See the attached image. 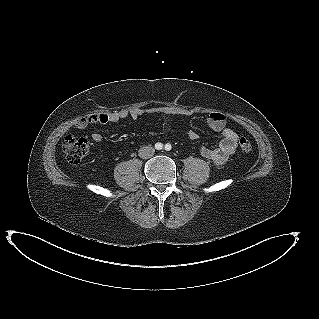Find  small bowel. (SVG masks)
Instances as JSON below:
<instances>
[{
    "label": "small bowel",
    "instance_id": "1",
    "mask_svg": "<svg viewBox=\"0 0 319 319\" xmlns=\"http://www.w3.org/2000/svg\"><path fill=\"white\" fill-rule=\"evenodd\" d=\"M145 114L173 115L178 116L182 120H184L191 115V112L185 109L171 106L135 108L131 110L122 109L117 111L91 114L79 121L76 124V128L82 131L92 124L116 123L128 118L137 120L140 116H143ZM206 122L211 130L220 134V141L218 146L215 148L202 146L200 148V153L204 158L208 159L213 164L221 165L234 154L238 144V134L234 130L226 127V118L225 115L221 112H210L206 117ZM187 136L191 141H195L199 137L198 134L193 130H189ZM91 138L97 145H100L102 142V135L98 132L92 133Z\"/></svg>",
    "mask_w": 319,
    "mask_h": 319
}]
</instances>
